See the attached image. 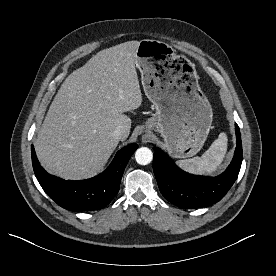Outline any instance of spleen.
Returning <instances> with one entry per match:
<instances>
[{
  "label": "spleen",
  "instance_id": "1",
  "mask_svg": "<svg viewBox=\"0 0 276 276\" xmlns=\"http://www.w3.org/2000/svg\"><path fill=\"white\" fill-rule=\"evenodd\" d=\"M227 151V135L220 133L209 149L201 156L191 159L176 161V164L184 171L204 175L211 174L222 163Z\"/></svg>",
  "mask_w": 276,
  "mask_h": 276
}]
</instances>
